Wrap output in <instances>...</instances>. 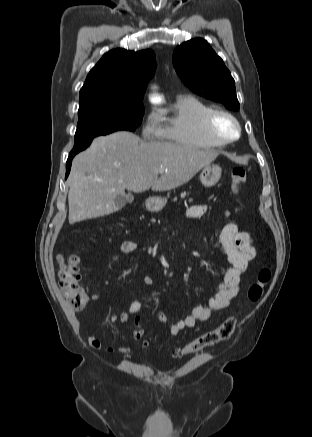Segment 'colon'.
I'll use <instances>...</instances> for the list:
<instances>
[{
  "mask_svg": "<svg viewBox=\"0 0 312 437\" xmlns=\"http://www.w3.org/2000/svg\"><path fill=\"white\" fill-rule=\"evenodd\" d=\"M231 187L234 193H238L240 187L246 182V171L242 167H236L231 173ZM60 263L59 283L60 287L67 298L71 308L75 310L82 309L89 301L88 294L80 284L79 257L76 254L59 255ZM271 279V272L268 268H262L257 280L253 282L247 291V298L250 302H257L263 295V292ZM237 319L234 316L226 318L220 326L208 331L189 342L188 344L176 349L177 354L187 355L199 352L207 347L214 346L220 342L228 340L234 333ZM133 337L136 340H142L143 333L140 328V319L135 318L133 327ZM143 343L147 342L143 340Z\"/></svg>",
  "mask_w": 312,
  "mask_h": 437,
  "instance_id": "5ec220e1",
  "label": "colon"
}]
</instances>
